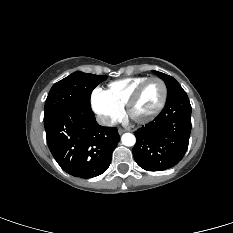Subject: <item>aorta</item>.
Listing matches in <instances>:
<instances>
[{"label":"aorta","mask_w":233,"mask_h":233,"mask_svg":"<svg viewBox=\"0 0 233 233\" xmlns=\"http://www.w3.org/2000/svg\"><path fill=\"white\" fill-rule=\"evenodd\" d=\"M122 144L125 146H133L136 143V138L133 134L131 133H125L121 137Z\"/></svg>","instance_id":"1"}]
</instances>
